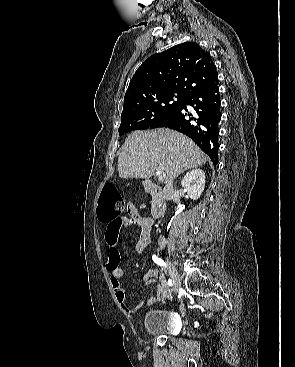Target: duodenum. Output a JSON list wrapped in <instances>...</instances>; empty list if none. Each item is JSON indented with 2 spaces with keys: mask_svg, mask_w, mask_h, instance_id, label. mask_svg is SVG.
<instances>
[{
  "mask_svg": "<svg viewBox=\"0 0 295 367\" xmlns=\"http://www.w3.org/2000/svg\"><path fill=\"white\" fill-rule=\"evenodd\" d=\"M144 188L152 196V217H161L166 210V199L162 188L150 180L144 181Z\"/></svg>",
  "mask_w": 295,
  "mask_h": 367,
  "instance_id": "1",
  "label": "duodenum"
}]
</instances>
